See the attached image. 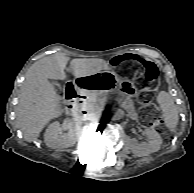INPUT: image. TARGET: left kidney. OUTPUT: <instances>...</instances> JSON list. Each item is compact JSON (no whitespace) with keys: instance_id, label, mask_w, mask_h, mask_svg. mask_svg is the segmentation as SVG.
<instances>
[{"instance_id":"5707ae66","label":"left kidney","mask_w":194,"mask_h":193,"mask_svg":"<svg viewBox=\"0 0 194 193\" xmlns=\"http://www.w3.org/2000/svg\"><path fill=\"white\" fill-rule=\"evenodd\" d=\"M144 133L149 138L148 143L138 144L135 141L130 142L131 151L137 156H147L150 153L157 152L162 144V138L154 129H146Z\"/></svg>"}]
</instances>
